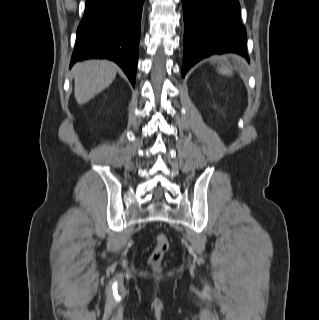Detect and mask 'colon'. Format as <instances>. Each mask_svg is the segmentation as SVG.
I'll use <instances>...</instances> for the list:
<instances>
[{
  "mask_svg": "<svg viewBox=\"0 0 319 320\" xmlns=\"http://www.w3.org/2000/svg\"><path fill=\"white\" fill-rule=\"evenodd\" d=\"M169 248V239L164 233L156 236V245L150 258V263L154 268H159L163 255Z\"/></svg>",
  "mask_w": 319,
  "mask_h": 320,
  "instance_id": "5ec220e1",
  "label": "colon"
}]
</instances>
